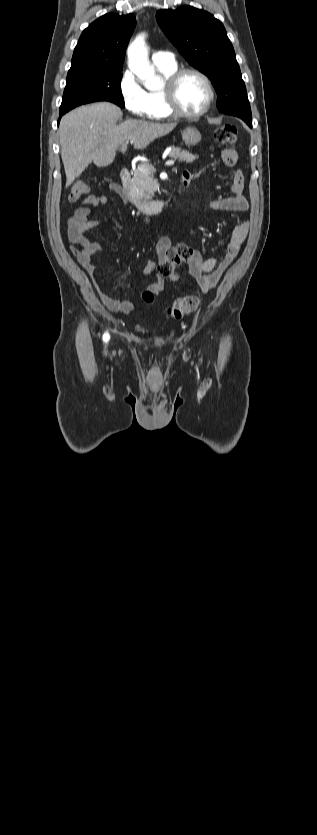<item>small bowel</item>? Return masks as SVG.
Returning a JSON list of instances; mask_svg holds the SVG:
<instances>
[{"instance_id": "obj_1", "label": "small bowel", "mask_w": 317, "mask_h": 835, "mask_svg": "<svg viewBox=\"0 0 317 835\" xmlns=\"http://www.w3.org/2000/svg\"><path fill=\"white\" fill-rule=\"evenodd\" d=\"M223 162L227 166H234L237 163L238 155L233 149H225L222 151ZM192 178L190 172L183 173V183L187 185ZM245 186L244 174L242 170L235 171L229 192L231 195L226 198L216 199L210 203V208L217 211H236L244 212L248 210V201L243 194ZM110 188L119 192L120 189L116 184H111ZM108 199L104 195H88L83 201L82 205L77 207L73 216L68 221V237L73 246H79L80 249L76 251L78 261L83 268L89 273L94 287L105 308L111 312H121L128 314L133 311L135 302L132 299H113L107 295L103 289L98 278L95 264L93 263V256L102 251L100 243L89 240L85 233L102 224L99 219L90 218V207L105 206ZM247 235V225L240 224L236 226L230 236L229 242L223 254L217 257L203 259L202 255L194 251L186 259H180V263H185L188 267L189 273L196 280L202 292L206 293L213 289L223 275L224 271L233 262L237 256ZM187 245L182 243H173L168 237H163L156 243L157 259L150 262L142 273V278L149 276L152 271L165 261H175L176 257L186 248ZM165 277L159 272L156 281L149 285V290L154 293H159L163 290Z\"/></svg>"}]
</instances>
